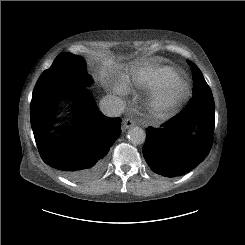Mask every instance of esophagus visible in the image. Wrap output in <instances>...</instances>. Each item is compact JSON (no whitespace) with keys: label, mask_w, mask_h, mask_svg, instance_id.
I'll return each mask as SVG.
<instances>
[{"label":"esophagus","mask_w":245,"mask_h":245,"mask_svg":"<svg viewBox=\"0 0 245 245\" xmlns=\"http://www.w3.org/2000/svg\"><path fill=\"white\" fill-rule=\"evenodd\" d=\"M134 124H135L134 121H132L131 119H125V120L123 121V127H124L125 129H128V128L134 126Z\"/></svg>","instance_id":"1"}]
</instances>
